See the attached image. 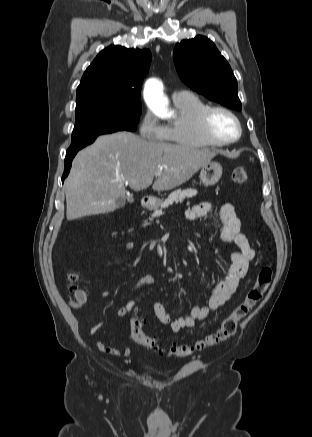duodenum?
<instances>
[{
    "mask_svg": "<svg viewBox=\"0 0 312 437\" xmlns=\"http://www.w3.org/2000/svg\"><path fill=\"white\" fill-rule=\"evenodd\" d=\"M142 204L145 208H152L155 204V198L148 196L142 200Z\"/></svg>",
    "mask_w": 312,
    "mask_h": 437,
    "instance_id": "1",
    "label": "duodenum"
}]
</instances>
